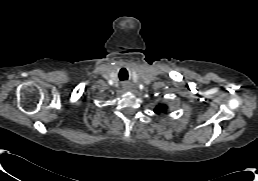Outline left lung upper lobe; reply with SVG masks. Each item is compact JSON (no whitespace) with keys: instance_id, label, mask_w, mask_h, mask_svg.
Here are the masks:
<instances>
[{"instance_id":"5c2ea615","label":"left lung upper lobe","mask_w":258,"mask_h":181,"mask_svg":"<svg viewBox=\"0 0 258 181\" xmlns=\"http://www.w3.org/2000/svg\"><path fill=\"white\" fill-rule=\"evenodd\" d=\"M166 109H167L166 106H164V105H159V106L156 107L155 112H156V113L166 112Z\"/></svg>"}]
</instances>
